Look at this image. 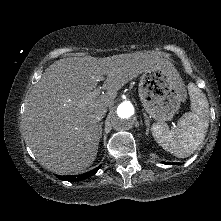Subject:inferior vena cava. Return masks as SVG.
<instances>
[{"mask_svg": "<svg viewBox=\"0 0 221 221\" xmlns=\"http://www.w3.org/2000/svg\"><path fill=\"white\" fill-rule=\"evenodd\" d=\"M106 112H107V109H106V108H103V109L99 110V112H98L97 115L95 116V119H96L98 122L101 121V120L104 118Z\"/></svg>", "mask_w": 221, "mask_h": 221, "instance_id": "inferior-vena-cava-1", "label": "inferior vena cava"}]
</instances>
